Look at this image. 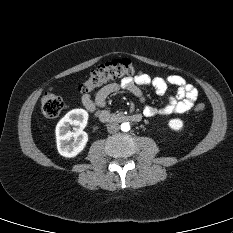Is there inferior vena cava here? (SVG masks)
Returning a JSON list of instances; mask_svg holds the SVG:
<instances>
[{
	"mask_svg": "<svg viewBox=\"0 0 233 233\" xmlns=\"http://www.w3.org/2000/svg\"><path fill=\"white\" fill-rule=\"evenodd\" d=\"M120 129V126L118 123L112 122L107 125V130L109 133H115Z\"/></svg>",
	"mask_w": 233,
	"mask_h": 233,
	"instance_id": "inferior-vena-cava-1",
	"label": "inferior vena cava"
}]
</instances>
